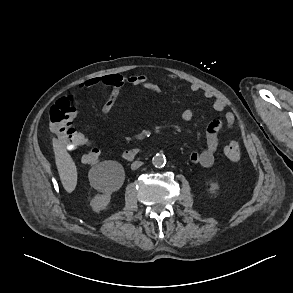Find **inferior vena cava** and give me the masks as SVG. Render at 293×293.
Masks as SVG:
<instances>
[{
    "label": "inferior vena cava",
    "mask_w": 293,
    "mask_h": 293,
    "mask_svg": "<svg viewBox=\"0 0 293 293\" xmlns=\"http://www.w3.org/2000/svg\"><path fill=\"white\" fill-rule=\"evenodd\" d=\"M143 163L141 161H135L131 164V169L136 170L138 169Z\"/></svg>",
    "instance_id": "obj_1"
}]
</instances>
